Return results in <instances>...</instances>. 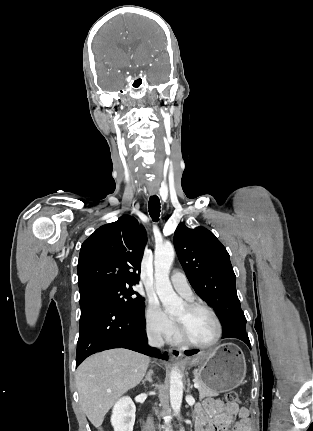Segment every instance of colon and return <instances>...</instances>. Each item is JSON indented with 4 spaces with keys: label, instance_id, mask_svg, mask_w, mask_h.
I'll return each instance as SVG.
<instances>
[{
    "label": "colon",
    "instance_id": "colon-1",
    "mask_svg": "<svg viewBox=\"0 0 313 431\" xmlns=\"http://www.w3.org/2000/svg\"><path fill=\"white\" fill-rule=\"evenodd\" d=\"M225 400L227 401V404H229V405L238 404V402H239L238 393L236 391H228L225 394Z\"/></svg>",
    "mask_w": 313,
    "mask_h": 431
}]
</instances>
